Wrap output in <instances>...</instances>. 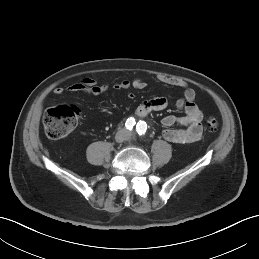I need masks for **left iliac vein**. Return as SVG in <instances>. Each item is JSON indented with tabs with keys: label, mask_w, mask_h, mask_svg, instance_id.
I'll list each match as a JSON object with an SVG mask.
<instances>
[{
	"label": "left iliac vein",
	"mask_w": 259,
	"mask_h": 259,
	"mask_svg": "<svg viewBox=\"0 0 259 259\" xmlns=\"http://www.w3.org/2000/svg\"><path fill=\"white\" fill-rule=\"evenodd\" d=\"M127 140L130 141L131 140V135L127 136Z\"/></svg>",
	"instance_id": "left-iliac-vein-1"
}]
</instances>
